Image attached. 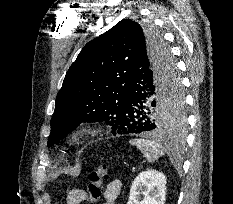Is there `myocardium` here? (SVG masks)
<instances>
[{"label":"myocardium","mask_w":233,"mask_h":204,"mask_svg":"<svg viewBox=\"0 0 233 204\" xmlns=\"http://www.w3.org/2000/svg\"><path fill=\"white\" fill-rule=\"evenodd\" d=\"M96 127L92 126V125H82L80 126L76 133L77 135L81 136V137H88V136H92L96 133Z\"/></svg>","instance_id":"1"}]
</instances>
